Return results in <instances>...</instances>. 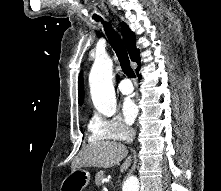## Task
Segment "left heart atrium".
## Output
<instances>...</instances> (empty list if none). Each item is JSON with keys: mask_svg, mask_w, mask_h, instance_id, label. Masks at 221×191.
Here are the masks:
<instances>
[{"mask_svg": "<svg viewBox=\"0 0 221 191\" xmlns=\"http://www.w3.org/2000/svg\"><path fill=\"white\" fill-rule=\"evenodd\" d=\"M122 112L125 120L128 123H132L135 120L138 113L135 102L130 98L125 99L122 104Z\"/></svg>", "mask_w": 221, "mask_h": 191, "instance_id": "1", "label": "left heart atrium"}]
</instances>
